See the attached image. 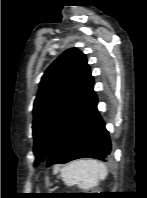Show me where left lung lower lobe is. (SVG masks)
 I'll use <instances>...</instances> for the list:
<instances>
[{"label": "left lung lower lobe", "mask_w": 147, "mask_h": 198, "mask_svg": "<svg viewBox=\"0 0 147 198\" xmlns=\"http://www.w3.org/2000/svg\"><path fill=\"white\" fill-rule=\"evenodd\" d=\"M111 152L109 133L97 110L93 90L89 100L54 145L47 166L79 158L107 161Z\"/></svg>", "instance_id": "1"}]
</instances>
